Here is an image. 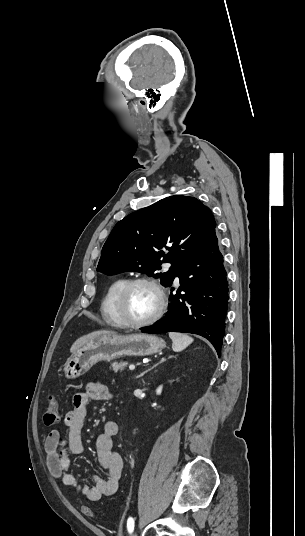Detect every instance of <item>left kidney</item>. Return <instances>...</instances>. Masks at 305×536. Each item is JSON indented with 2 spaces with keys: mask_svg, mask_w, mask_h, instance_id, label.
Masks as SVG:
<instances>
[{
  "mask_svg": "<svg viewBox=\"0 0 305 536\" xmlns=\"http://www.w3.org/2000/svg\"><path fill=\"white\" fill-rule=\"evenodd\" d=\"M161 392H162V386H159V388H157V390H156V394H158V396H160Z\"/></svg>",
  "mask_w": 305,
  "mask_h": 536,
  "instance_id": "5707ae66",
  "label": "left kidney"
}]
</instances>
